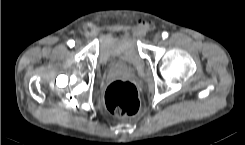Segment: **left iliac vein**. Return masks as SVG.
Returning <instances> with one entry per match:
<instances>
[{
    "label": "left iliac vein",
    "mask_w": 245,
    "mask_h": 145,
    "mask_svg": "<svg viewBox=\"0 0 245 145\" xmlns=\"http://www.w3.org/2000/svg\"><path fill=\"white\" fill-rule=\"evenodd\" d=\"M161 40V36L159 34H156L154 37H153V41L155 43L159 42Z\"/></svg>",
    "instance_id": "left-iliac-vein-1"
}]
</instances>
